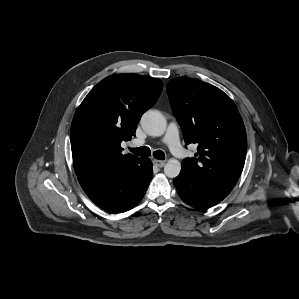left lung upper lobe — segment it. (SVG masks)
I'll use <instances>...</instances> for the list:
<instances>
[{
    "label": "left lung upper lobe",
    "instance_id": "obj_1",
    "mask_svg": "<svg viewBox=\"0 0 299 299\" xmlns=\"http://www.w3.org/2000/svg\"><path fill=\"white\" fill-rule=\"evenodd\" d=\"M167 94L185 143L198 144L182 170L232 190L247 151L244 123L233 101L219 88L188 77L170 80Z\"/></svg>",
    "mask_w": 299,
    "mask_h": 299
}]
</instances>
